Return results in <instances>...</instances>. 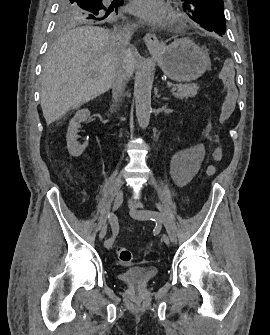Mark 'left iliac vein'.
I'll list each match as a JSON object with an SVG mask.
<instances>
[{
  "mask_svg": "<svg viewBox=\"0 0 270 335\" xmlns=\"http://www.w3.org/2000/svg\"><path fill=\"white\" fill-rule=\"evenodd\" d=\"M129 208H130V215L138 220H147L148 217H146L143 212L145 210L139 208V206L136 204V202L129 200ZM162 239L165 244L169 245L170 244V239L166 234L162 235Z\"/></svg>",
  "mask_w": 270,
  "mask_h": 335,
  "instance_id": "1",
  "label": "left iliac vein"
}]
</instances>
